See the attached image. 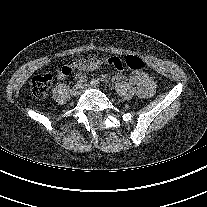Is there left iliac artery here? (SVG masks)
<instances>
[{
    "instance_id": "44dca946",
    "label": "left iliac artery",
    "mask_w": 207,
    "mask_h": 207,
    "mask_svg": "<svg viewBox=\"0 0 207 207\" xmlns=\"http://www.w3.org/2000/svg\"><path fill=\"white\" fill-rule=\"evenodd\" d=\"M91 84L92 85H96V86H99V81L98 80H96V79H93L92 81H91Z\"/></svg>"
}]
</instances>
